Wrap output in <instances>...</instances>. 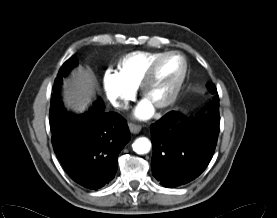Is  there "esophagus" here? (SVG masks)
<instances>
[{"mask_svg": "<svg viewBox=\"0 0 277 218\" xmlns=\"http://www.w3.org/2000/svg\"><path fill=\"white\" fill-rule=\"evenodd\" d=\"M128 126H129L130 132L133 133V134H138L141 131V126L140 125H137V124H134V123H129Z\"/></svg>", "mask_w": 277, "mask_h": 218, "instance_id": "esophagus-1", "label": "esophagus"}]
</instances>
